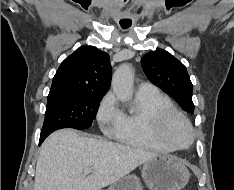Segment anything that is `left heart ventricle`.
Listing matches in <instances>:
<instances>
[{"instance_id":"obj_1","label":"left heart ventricle","mask_w":234,"mask_h":190,"mask_svg":"<svg viewBox=\"0 0 234 190\" xmlns=\"http://www.w3.org/2000/svg\"><path fill=\"white\" fill-rule=\"evenodd\" d=\"M168 136L176 144L183 145L187 143L189 139V134L184 126V124L178 120L174 119L168 127Z\"/></svg>"}]
</instances>
